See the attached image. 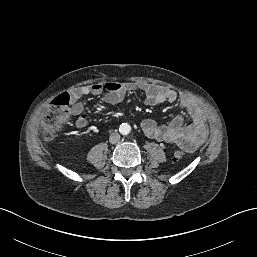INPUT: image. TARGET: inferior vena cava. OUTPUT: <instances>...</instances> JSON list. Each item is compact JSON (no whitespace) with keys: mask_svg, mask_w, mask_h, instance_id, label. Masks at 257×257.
Segmentation results:
<instances>
[{"mask_svg":"<svg viewBox=\"0 0 257 257\" xmlns=\"http://www.w3.org/2000/svg\"><path fill=\"white\" fill-rule=\"evenodd\" d=\"M119 140H120V134L117 133V132L112 133V134L110 135V137H109V141H110V143H112V144L118 143Z\"/></svg>","mask_w":257,"mask_h":257,"instance_id":"obj_1","label":"inferior vena cava"}]
</instances>
